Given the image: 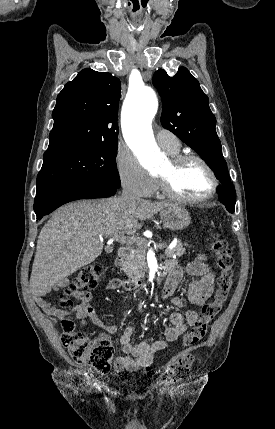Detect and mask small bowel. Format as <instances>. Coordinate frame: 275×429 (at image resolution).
Segmentation results:
<instances>
[{
    "instance_id": "small-bowel-1",
    "label": "small bowel",
    "mask_w": 275,
    "mask_h": 429,
    "mask_svg": "<svg viewBox=\"0 0 275 429\" xmlns=\"http://www.w3.org/2000/svg\"><path fill=\"white\" fill-rule=\"evenodd\" d=\"M169 273L168 278L162 290V297L165 300H170L171 303L178 307H183V301L174 297V292L181 282L184 272L191 276L187 289L188 302L194 307H202L211 298L214 291L215 275L210 270L205 255H199L190 261L183 269L175 260H168L165 264ZM119 280H111L107 284L108 290H115L120 286ZM61 287L60 283L52 286L40 288L35 291L34 299L39 307L47 314L64 318L70 314L75 315V319L85 324L88 320L93 324L105 329L107 333L114 334L118 327L114 324H108L102 321L96 314L91 305L92 295L87 291H80L74 295L79 300V304L70 309H59L44 296L49 292L57 291ZM170 326L164 330V337L160 340L149 343L140 341L134 343L132 341L133 326L130 323L123 331L120 340L121 355L114 362L116 371H137L140 368L149 367L154 359L156 352L165 349L170 343L176 341L185 331L193 326L198 320V313L193 309H189L185 314L174 311L169 317Z\"/></svg>"
}]
</instances>
